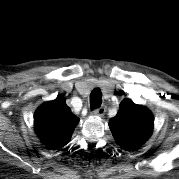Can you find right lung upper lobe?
Masks as SVG:
<instances>
[{
  "label": "right lung upper lobe",
  "mask_w": 179,
  "mask_h": 179,
  "mask_svg": "<svg viewBox=\"0 0 179 179\" xmlns=\"http://www.w3.org/2000/svg\"><path fill=\"white\" fill-rule=\"evenodd\" d=\"M78 122L79 119L72 114L62 96L42 104L34 116L36 134L50 149L64 147L69 142Z\"/></svg>",
  "instance_id": "cb5924a9"
}]
</instances>
